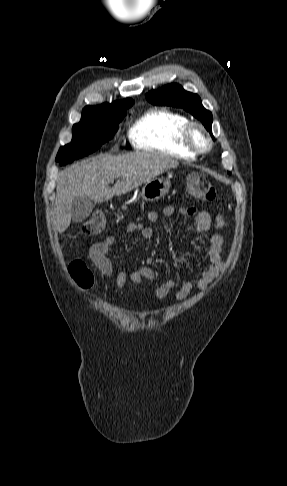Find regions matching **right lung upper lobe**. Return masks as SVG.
Returning <instances> with one entry per match:
<instances>
[{
    "instance_id": "1",
    "label": "right lung upper lobe",
    "mask_w": 287,
    "mask_h": 486,
    "mask_svg": "<svg viewBox=\"0 0 287 486\" xmlns=\"http://www.w3.org/2000/svg\"><path fill=\"white\" fill-rule=\"evenodd\" d=\"M134 101L130 98L109 103H104L97 106H86L83 111L100 110L111 114H123L126 113L127 108L132 106Z\"/></svg>"
}]
</instances>
